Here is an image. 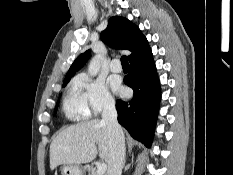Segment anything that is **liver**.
<instances>
[{"instance_id":"liver-1","label":"liver","mask_w":233,"mask_h":175,"mask_svg":"<svg viewBox=\"0 0 233 175\" xmlns=\"http://www.w3.org/2000/svg\"><path fill=\"white\" fill-rule=\"evenodd\" d=\"M111 148L108 126L100 120L93 119L69 126L50 145V169L54 170L61 164L89 163L98 153L108 163Z\"/></svg>"}]
</instances>
